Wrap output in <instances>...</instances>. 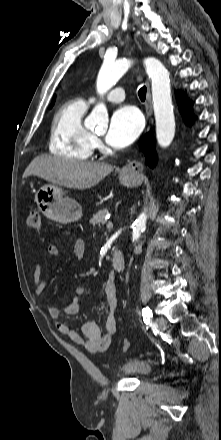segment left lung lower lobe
I'll return each mask as SVG.
<instances>
[{"label":"left lung lower lobe","instance_id":"obj_1","mask_svg":"<svg viewBox=\"0 0 221 440\" xmlns=\"http://www.w3.org/2000/svg\"><path fill=\"white\" fill-rule=\"evenodd\" d=\"M177 102L180 107V111L186 122H191L193 120V113L191 110V101L184 99L183 97L177 96ZM141 150L145 153L146 162L149 165H154L156 162V152L154 146V139L150 134L144 136L140 146Z\"/></svg>","mask_w":221,"mask_h":440}]
</instances>
